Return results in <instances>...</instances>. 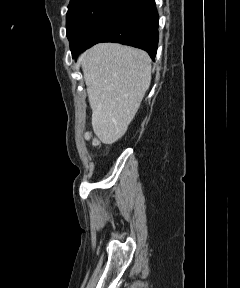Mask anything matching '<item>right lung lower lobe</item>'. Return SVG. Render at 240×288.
Here are the masks:
<instances>
[{"mask_svg":"<svg viewBox=\"0 0 240 288\" xmlns=\"http://www.w3.org/2000/svg\"><path fill=\"white\" fill-rule=\"evenodd\" d=\"M158 21L154 0H118L83 42L70 46L72 56L99 42H117L143 49L153 59L158 47Z\"/></svg>","mask_w":240,"mask_h":288,"instance_id":"obj_1","label":"right lung lower lobe"}]
</instances>
